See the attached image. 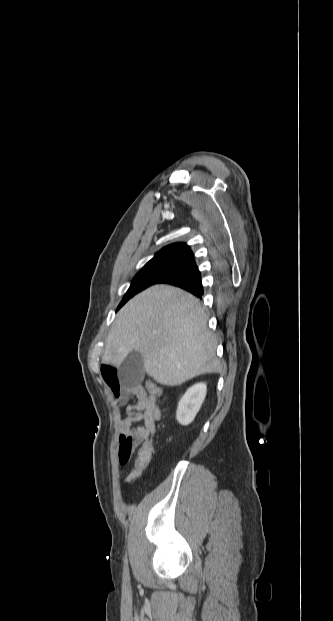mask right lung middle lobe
<instances>
[{
    "label": "right lung middle lobe",
    "mask_w": 333,
    "mask_h": 621,
    "mask_svg": "<svg viewBox=\"0 0 333 621\" xmlns=\"http://www.w3.org/2000/svg\"><path fill=\"white\" fill-rule=\"evenodd\" d=\"M186 261L187 260L185 259L179 258H165L149 261L133 279L130 288L125 294L117 310L120 309L131 297L145 288L156 284L161 278L177 270Z\"/></svg>",
    "instance_id": "dd1d6c3e"
}]
</instances>
